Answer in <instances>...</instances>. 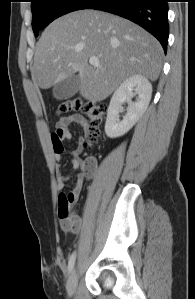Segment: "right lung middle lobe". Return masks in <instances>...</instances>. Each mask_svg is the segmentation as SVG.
I'll list each match as a JSON object with an SVG mask.
<instances>
[{
    "label": "right lung middle lobe",
    "mask_w": 195,
    "mask_h": 299,
    "mask_svg": "<svg viewBox=\"0 0 195 299\" xmlns=\"http://www.w3.org/2000/svg\"><path fill=\"white\" fill-rule=\"evenodd\" d=\"M91 0H31L32 28L35 36L56 18L84 9Z\"/></svg>",
    "instance_id": "dd1d6c3e"
}]
</instances>
